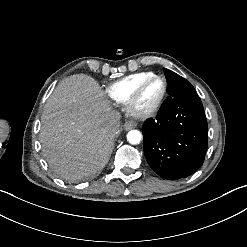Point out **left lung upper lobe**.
I'll return each instance as SVG.
<instances>
[{
	"label": "left lung upper lobe",
	"mask_w": 247,
	"mask_h": 247,
	"mask_svg": "<svg viewBox=\"0 0 247 247\" xmlns=\"http://www.w3.org/2000/svg\"><path fill=\"white\" fill-rule=\"evenodd\" d=\"M165 73L168 80L167 92L169 97L162 105L168 103L174 98L198 96L194 87L186 79L168 69H165Z\"/></svg>",
	"instance_id": "5c2ea615"
}]
</instances>
